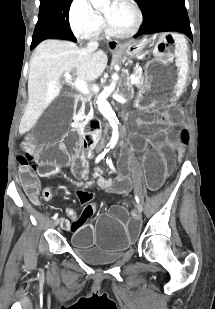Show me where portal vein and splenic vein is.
I'll return each mask as SVG.
<instances>
[{"instance_id": "obj_1", "label": "portal vein and splenic vein", "mask_w": 215, "mask_h": 309, "mask_svg": "<svg viewBox=\"0 0 215 309\" xmlns=\"http://www.w3.org/2000/svg\"><path fill=\"white\" fill-rule=\"evenodd\" d=\"M64 74H65V76H68L69 72H64ZM130 82H137V78H136L135 74H131ZM74 86H76V88H79V90H81V92H83V94H88V92H89L87 86H85V84H82L81 80H75Z\"/></svg>"}]
</instances>
